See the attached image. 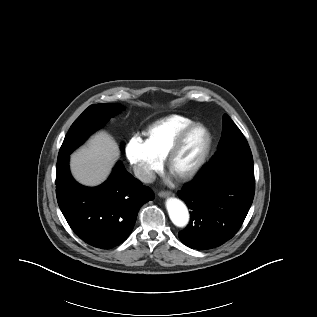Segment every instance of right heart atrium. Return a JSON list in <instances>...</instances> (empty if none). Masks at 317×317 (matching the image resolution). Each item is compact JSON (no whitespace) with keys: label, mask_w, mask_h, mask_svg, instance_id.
<instances>
[{"label":"right heart atrium","mask_w":317,"mask_h":317,"mask_svg":"<svg viewBox=\"0 0 317 317\" xmlns=\"http://www.w3.org/2000/svg\"><path fill=\"white\" fill-rule=\"evenodd\" d=\"M126 156L132 166L136 177L149 182L154 174L161 168L162 159L157 157L138 136L132 137L126 147Z\"/></svg>","instance_id":"1"}]
</instances>
